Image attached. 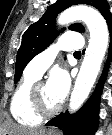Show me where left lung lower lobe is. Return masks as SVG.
<instances>
[{"instance_id":"0a47b994","label":"left lung lower lobe","mask_w":112,"mask_h":135,"mask_svg":"<svg viewBox=\"0 0 112 135\" xmlns=\"http://www.w3.org/2000/svg\"><path fill=\"white\" fill-rule=\"evenodd\" d=\"M111 34V43L109 50L108 62L112 55V19L107 20ZM108 63L103 71V75L96 87L95 92L91 98L86 102V104L75 114L69 115L68 112L65 114L61 113L58 116L51 119L46 125H53L58 128H62L65 135H94L98 127L99 117V104H100V94L102 91V86L104 79L106 77Z\"/></svg>"}]
</instances>
